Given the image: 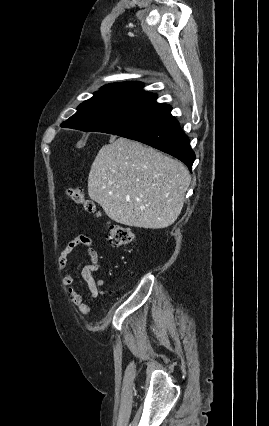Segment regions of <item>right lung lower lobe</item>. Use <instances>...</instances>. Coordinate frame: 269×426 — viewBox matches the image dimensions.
<instances>
[{"instance_id":"98d812e1","label":"right lung lower lobe","mask_w":269,"mask_h":426,"mask_svg":"<svg viewBox=\"0 0 269 426\" xmlns=\"http://www.w3.org/2000/svg\"><path fill=\"white\" fill-rule=\"evenodd\" d=\"M171 110L170 105L157 104L140 123L117 135L170 154L185 163L191 170L195 153L179 122L171 115ZM61 127L65 126L61 124Z\"/></svg>"}]
</instances>
